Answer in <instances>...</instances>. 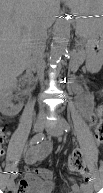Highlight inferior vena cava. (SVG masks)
Listing matches in <instances>:
<instances>
[{
    "mask_svg": "<svg viewBox=\"0 0 103 193\" xmlns=\"http://www.w3.org/2000/svg\"><path fill=\"white\" fill-rule=\"evenodd\" d=\"M46 47V32L41 25L34 28L31 35L30 49L32 53V60L35 62L37 67L38 78L43 84L44 79V52ZM45 116L44 105L40 106L39 117Z\"/></svg>",
    "mask_w": 103,
    "mask_h": 193,
    "instance_id": "obj_1",
    "label": "inferior vena cava"
}]
</instances>
